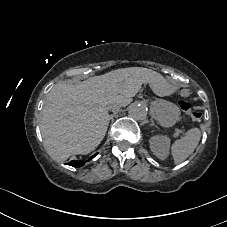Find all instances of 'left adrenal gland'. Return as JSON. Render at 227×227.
<instances>
[{
	"label": "left adrenal gland",
	"instance_id": "left-adrenal-gland-1",
	"mask_svg": "<svg viewBox=\"0 0 227 227\" xmlns=\"http://www.w3.org/2000/svg\"><path fill=\"white\" fill-rule=\"evenodd\" d=\"M151 122H152V123H151V126H155V127H157V126H156V124L154 123L153 118H151Z\"/></svg>",
	"mask_w": 227,
	"mask_h": 227
}]
</instances>
